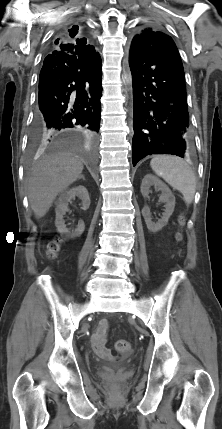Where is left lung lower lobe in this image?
<instances>
[{
    "label": "left lung lower lobe",
    "instance_id": "0a47b994",
    "mask_svg": "<svg viewBox=\"0 0 222 429\" xmlns=\"http://www.w3.org/2000/svg\"><path fill=\"white\" fill-rule=\"evenodd\" d=\"M131 44L133 80V166L152 154L184 157L190 149V124L184 70L170 36Z\"/></svg>",
    "mask_w": 222,
    "mask_h": 429
}]
</instances>
